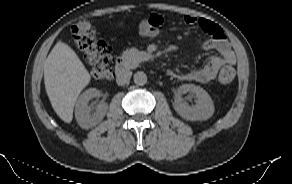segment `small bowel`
<instances>
[{
    "mask_svg": "<svg viewBox=\"0 0 292 184\" xmlns=\"http://www.w3.org/2000/svg\"><path fill=\"white\" fill-rule=\"evenodd\" d=\"M156 16L161 23L164 19L159 14H152ZM184 22L188 25L198 26L201 30L207 33L210 37L200 44L204 50H216L217 54H214L208 58L205 66L200 69L192 70L186 73H174L172 75L176 78L184 81H195L198 83H209L215 79L219 69L225 65H232L236 62V56L230 44L222 31V29L204 18H197L192 15L184 16Z\"/></svg>",
    "mask_w": 292,
    "mask_h": 184,
    "instance_id": "obj_1",
    "label": "small bowel"
}]
</instances>
